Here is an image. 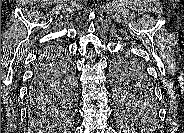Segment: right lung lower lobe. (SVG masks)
<instances>
[{
  "mask_svg": "<svg viewBox=\"0 0 184 133\" xmlns=\"http://www.w3.org/2000/svg\"><path fill=\"white\" fill-rule=\"evenodd\" d=\"M43 72H44V70H41V58H39L37 64L35 65L33 80H32V83H31V86L29 89V93L32 91L33 88L41 87V85L44 83L45 76H44Z\"/></svg>",
  "mask_w": 184,
  "mask_h": 133,
  "instance_id": "98d812e1",
  "label": "right lung lower lobe"
}]
</instances>
